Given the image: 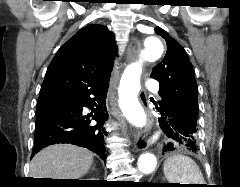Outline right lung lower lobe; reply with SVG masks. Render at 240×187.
<instances>
[{
    "label": "right lung lower lobe",
    "mask_w": 240,
    "mask_h": 187,
    "mask_svg": "<svg viewBox=\"0 0 240 187\" xmlns=\"http://www.w3.org/2000/svg\"><path fill=\"white\" fill-rule=\"evenodd\" d=\"M108 87L109 80H105L73 96L39 102L32 154L48 145L71 143L93 151L104 160L106 132L102 125L108 118L105 102ZM84 107L90 108L91 113L84 114Z\"/></svg>",
    "instance_id": "right-lung-lower-lobe-1"
}]
</instances>
